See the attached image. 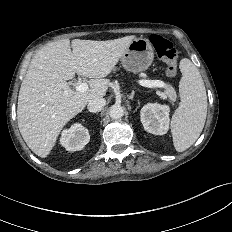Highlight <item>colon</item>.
<instances>
[{
    "mask_svg": "<svg viewBox=\"0 0 232 232\" xmlns=\"http://www.w3.org/2000/svg\"><path fill=\"white\" fill-rule=\"evenodd\" d=\"M150 41L160 59L167 64V74L175 76L177 73L178 52L175 46L161 35H152Z\"/></svg>",
    "mask_w": 232,
    "mask_h": 232,
    "instance_id": "obj_1",
    "label": "colon"
}]
</instances>
